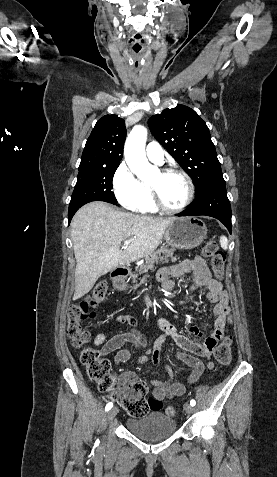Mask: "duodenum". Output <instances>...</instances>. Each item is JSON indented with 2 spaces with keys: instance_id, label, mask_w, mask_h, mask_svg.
Here are the masks:
<instances>
[{
  "instance_id": "obj_1",
  "label": "duodenum",
  "mask_w": 277,
  "mask_h": 477,
  "mask_svg": "<svg viewBox=\"0 0 277 477\" xmlns=\"http://www.w3.org/2000/svg\"><path fill=\"white\" fill-rule=\"evenodd\" d=\"M128 275H129V271L125 267L116 268L112 272V278L119 287L121 286L122 282L127 278Z\"/></svg>"
}]
</instances>
